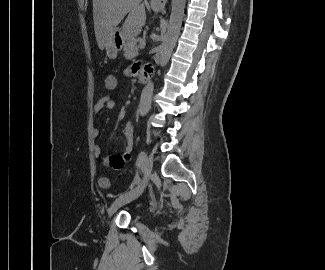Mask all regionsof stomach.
<instances>
[{
    "mask_svg": "<svg viewBox=\"0 0 325 270\" xmlns=\"http://www.w3.org/2000/svg\"><path fill=\"white\" fill-rule=\"evenodd\" d=\"M126 40L128 39L122 30H115L112 37L105 45L107 56L110 59H115L118 51L123 47Z\"/></svg>",
    "mask_w": 325,
    "mask_h": 270,
    "instance_id": "stomach-1",
    "label": "stomach"
}]
</instances>
